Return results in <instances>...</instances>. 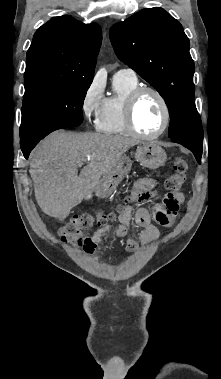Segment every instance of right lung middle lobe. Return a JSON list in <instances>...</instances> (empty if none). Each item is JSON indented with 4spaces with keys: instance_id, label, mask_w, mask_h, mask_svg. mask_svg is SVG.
I'll return each instance as SVG.
<instances>
[{
    "instance_id": "obj_1",
    "label": "right lung middle lobe",
    "mask_w": 221,
    "mask_h": 379,
    "mask_svg": "<svg viewBox=\"0 0 221 379\" xmlns=\"http://www.w3.org/2000/svg\"><path fill=\"white\" fill-rule=\"evenodd\" d=\"M92 80L44 87L24 94L20 138L34 141L50 132L79 126Z\"/></svg>"
}]
</instances>
